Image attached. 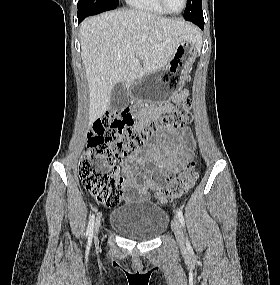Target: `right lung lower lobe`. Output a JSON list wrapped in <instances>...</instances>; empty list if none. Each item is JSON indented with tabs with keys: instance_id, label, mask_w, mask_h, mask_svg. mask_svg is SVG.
Masks as SVG:
<instances>
[{
	"instance_id": "98d812e1",
	"label": "right lung lower lobe",
	"mask_w": 280,
	"mask_h": 285,
	"mask_svg": "<svg viewBox=\"0 0 280 285\" xmlns=\"http://www.w3.org/2000/svg\"><path fill=\"white\" fill-rule=\"evenodd\" d=\"M84 18H80V17H78V22L80 23L82 20H83Z\"/></svg>"
}]
</instances>
